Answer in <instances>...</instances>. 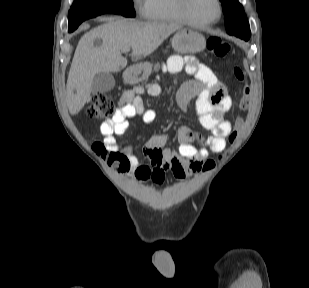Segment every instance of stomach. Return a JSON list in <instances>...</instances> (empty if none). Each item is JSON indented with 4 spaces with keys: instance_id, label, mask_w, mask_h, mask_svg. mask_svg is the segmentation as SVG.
<instances>
[{
    "instance_id": "0dacf381",
    "label": "stomach",
    "mask_w": 309,
    "mask_h": 288,
    "mask_svg": "<svg viewBox=\"0 0 309 288\" xmlns=\"http://www.w3.org/2000/svg\"><path fill=\"white\" fill-rule=\"evenodd\" d=\"M173 49L180 54H194L204 50L206 41L202 34L197 31L180 28L172 38ZM152 70L149 62L133 65L124 74L127 83L136 84L148 79Z\"/></svg>"
}]
</instances>
